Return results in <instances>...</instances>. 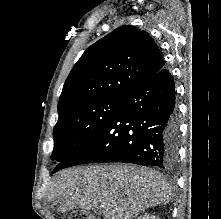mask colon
<instances>
[{"instance_id": "colon-1", "label": "colon", "mask_w": 221, "mask_h": 219, "mask_svg": "<svg viewBox=\"0 0 221 219\" xmlns=\"http://www.w3.org/2000/svg\"><path fill=\"white\" fill-rule=\"evenodd\" d=\"M70 219H92L91 216L81 213V212H77L75 214H73Z\"/></svg>"}]
</instances>
